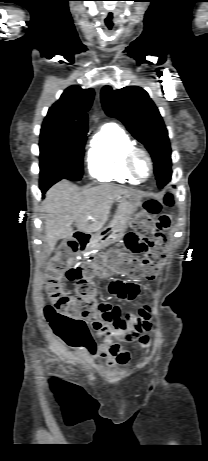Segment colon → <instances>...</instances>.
I'll list each match as a JSON object with an SVG mask.
<instances>
[{"mask_svg": "<svg viewBox=\"0 0 208 461\" xmlns=\"http://www.w3.org/2000/svg\"><path fill=\"white\" fill-rule=\"evenodd\" d=\"M173 203V196L167 193L164 204L171 207ZM161 209L162 205L157 201L145 202L143 209L136 214L135 230L125 236L124 248L111 251L107 260L99 256L81 266L71 267L73 255L84 244L83 236L67 241L53 257L46 275V287L52 304L45 308V316L56 336L66 344L82 348L91 343L92 336L86 320L93 317L96 311L94 279L105 273L107 264L135 281L153 280L156 277L158 269L166 261L162 250L165 246L163 231L170 223L167 215L152 218ZM142 252L147 253V258L143 260L129 255ZM65 278L75 283L77 295L66 291ZM144 328L147 330L149 325ZM141 342L146 345L148 337H142Z\"/></svg>", "mask_w": 208, "mask_h": 461, "instance_id": "colon-1", "label": "colon"}]
</instances>
